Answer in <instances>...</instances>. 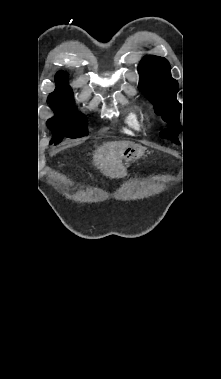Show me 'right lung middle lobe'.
<instances>
[{
	"label": "right lung middle lobe",
	"instance_id": "1",
	"mask_svg": "<svg viewBox=\"0 0 221 379\" xmlns=\"http://www.w3.org/2000/svg\"><path fill=\"white\" fill-rule=\"evenodd\" d=\"M72 104L73 102L50 103V107L56 113L55 117L48 120V126L55 133L51 144L60 143L63 136L77 138L87 135L86 118L76 112Z\"/></svg>",
	"mask_w": 221,
	"mask_h": 379
}]
</instances>
